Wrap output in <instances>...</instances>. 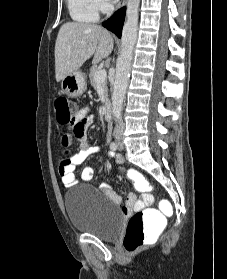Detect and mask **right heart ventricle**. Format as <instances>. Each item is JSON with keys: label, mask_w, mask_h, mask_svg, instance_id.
<instances>
[{"label": "right heart ventricle", "mask_w": 227, "mask_h": 279, "mask_svg": "<svg viewBox=\"0 0 227 279\" xmlns=\"http://www.w3.org/2000/svg\"><path fill=\"white\" fill-rule=\"evenodd\" d=\"M71 18L77 22H94L97 20V12L90 0H67Z\"/></svg>", "instance_id": "e07e8e85"}]
</instances>
